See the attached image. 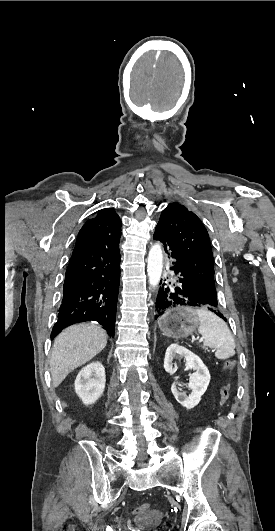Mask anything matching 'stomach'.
I'll return each mask as SVG.
<instances>
[{"instance_id":"obj_1","label":"stomach","mask_w":275,"mask_h":531,"mask_svg":"<svg viewBox=\"0 0 275 531\" xmlns=\"http://www.w3.org/2000/svg\"><path fill=\"white\" fill-rule=\"evenodd\" d=\"M191 309L192 304L184 301L181 307L166 311L158 321L163 335L172 337V339H182V337L192 335L199 325V317L192 313Z\"/></svg>"}]
</instances>
